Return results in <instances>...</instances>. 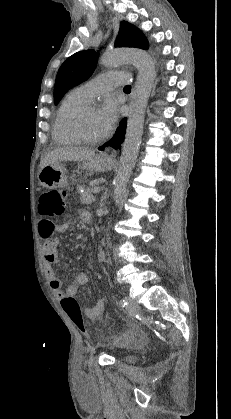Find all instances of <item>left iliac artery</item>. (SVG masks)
I'll use <instances>...</instances> for the list:
<instances>
[{"mask_svg":"<svg viewBox=\"0 0 231 419\" xmlns=\"http://www.w3.org/2000/svg\"><path fill=\"white\" fill-rule=\"evenodd\" d=\"M119 304H120L121 307H124V306L127 305V300L122 299V300H120Z\"/></svg>","mask_w":231,"mask_h":419,"instance_id":"left-iliac-artery-1","label":"left iliac artery"}]
</instances>
